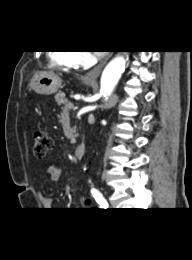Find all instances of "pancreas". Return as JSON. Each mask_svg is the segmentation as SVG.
I'll return each instance as SVG.
<instances>
[{
	"instance_id": "pancreas-1",
	"label": "pancreas",
	"mask_w": 192,
	"mask_h": 260,
	"mask_svg": "<svg viewBox=\"0 0 192 260\" xmlns=\"http://www.w3.org/2000/svg\"><path fill=\"white\" fill-rule=\"evenodd\" d=\"M55 101L57 102L58 105H66L67 104V99L65 98V94L63 92H59L55 95ZM64 109V107H62ZM75 131L71 136V143H75Z\"/></svg>"
}]
</instances>
